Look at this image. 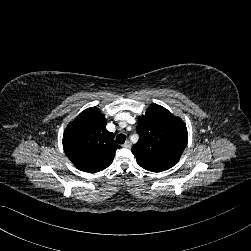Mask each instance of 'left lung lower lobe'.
Masks as SVG:
<instances>
[{
    "mask_svg": "<svg viewBox=\"0 0 251 251\" xmlns=\"http://www.w3.org/2000/svg\"><path fill=\"white\" fill-rule=\"evenodd\" d=\"M142 168L148 170V171H151V172H161V171H164L160 168H153V167H150V166H146V165H142L141 166Z\"/></svg>",
    "mask_w": 251,
    "mask_h": 251,
    "instance_id": "obj_1",
    "label": "left lung lower lobe"
}]
</instances>
